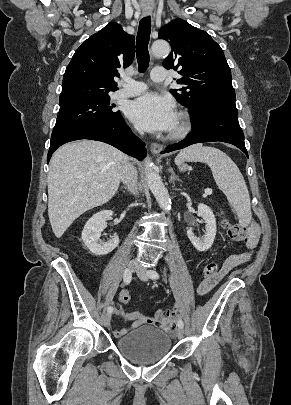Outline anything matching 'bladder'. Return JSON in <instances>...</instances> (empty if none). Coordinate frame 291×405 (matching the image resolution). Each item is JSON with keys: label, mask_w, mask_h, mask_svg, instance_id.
<instances>
[{"label": "bladder", "mask_w": 291, "mask_h": 405, "mask_svg": "<svg viewBox=\"0 0 291 405\" xmlns=\"http://www.w3.org/2000/svg\"><path fill=\"white\" fill-rule=\"evenodd\" d=\"M115 347L129 362L145 366L157 363L168 355L171 339L161 329L143 325L119 337Z\"/></svg>", "instance_id": "bladder-1"}]
</instances>
